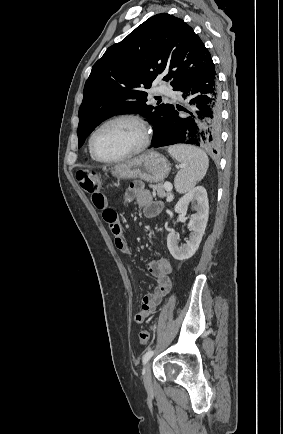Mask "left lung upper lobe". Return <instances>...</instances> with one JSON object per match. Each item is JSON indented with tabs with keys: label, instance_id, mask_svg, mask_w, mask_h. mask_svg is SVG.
Returning a JSON list of instances; mask_svg holds the SVG:
<instances>
[{
	"label": "left lung upper lobe",
	"instance_id": "left-lung-upper-lobe-1",
	"mask_svg": "<svg viewBox=\"0 0 283 434\" xmlns=\"http://www.w3.org/2000/svg\"><path fill=\"white\" fill-rule=\"evenodd\" d=\"M210 60L202 40L182 19L161 13L146 20L92 67L79 109V148L101 122L122 113L139 112L150 119L155 142L175 109L148 105L146 90L157 78L177 90Z\"/></svg>",
	"mask_w": 283,
	"mask_h": 434
}]
</instances>
